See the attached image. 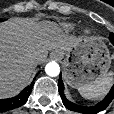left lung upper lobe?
<instances>
[{"instance_id": "5c2ea615", "label": "left lung upper lobe", "mask_w": 114, "mask_h": 114, "mask_svg": "<svg viewBox=\"0 0 114 114\" xmlns=\"http://www.w3.org/2000/svg\"><path fill=\"white\" fill-rule=\"evenodd\" d=\"M112 36H114V34H113V33H111V34H110V37H112Z\"/></svg>"}]
</instances>
